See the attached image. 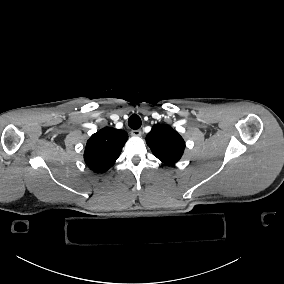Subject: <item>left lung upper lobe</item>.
<instances>
[{
	"instance_id": "left-lung-upper-lobe-1",
	"label": "left lung upper lobe",
	"mask_w": 284,
	"mask_h": 284,
	"mask_svg": "<svg viewBox=\"0 0 284 284\" xmlns=\"http://www.w3.org/2000/svg\"><path fill=\"white\" fill-rule=\"evenodd\" d=\"M146 142L153 154L166 165L179 161L185 148L182 137L172 127L164 124L154 125L146 136Z\"/></svg>"
}]
</instances>
